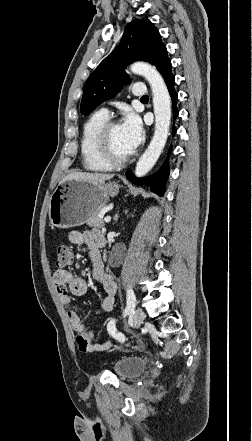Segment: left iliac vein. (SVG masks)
I'll use <instances>...</instances> for the list:
<instances>
[{
    "label": "left iliac vein",
    "instance_id": "1",
    "mask_svg": "<svg viewBox=\"0 0 252 441\" xmlns=\"http://www.w3.org/2000/svg\"><path fill=\"white\" fill-rule=\"evenodd\" d=\"M145 318L144 311L141 308H136L133 316V324L135 327H139Z\"/></svg>",
    "mask_w": 252,
    "mask_h": 441
}]
</instances>
